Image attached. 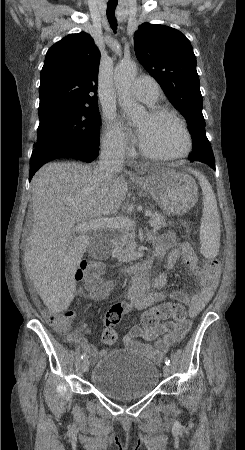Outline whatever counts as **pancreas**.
Segmentation results:
<instances>
[{"instance_id":"cf45deb5","label":"pancreas","mask_w":245,"mask_h":450,"mask_svg":"<svg viewBox=\"0 0 245 450\" xmlns=\"http://www.w3.org/2000/svg\"><path fill=\"white\" fill-rule=\"evenodd\" d=\"M149 224L155 230H160L162 227H166L167 223L165 222V217L155 213L152 214ZM120 236L117 240V245L114 249L115 257L121 262H130L132 260H136L139 258V253L136 250V234L135 229H121L119 231Z\"/></svg>"}]
</instances>
